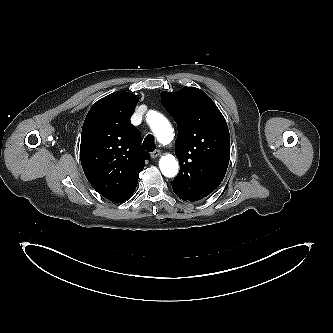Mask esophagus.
I'll return each mask as SVG.
<instances>
[{
    "instance_id": "esophagus-1",
    "label": "esophagus",
    "mask_w": 333,
    "mask_h": 333,
    "mask_svg": "<svg viewBox=\"0 0 333 333\" xmlns=\"http://www.w3.org/2000/svg\"><path fill=\"white\" fill-rule=\"evenodd\" d=\"M161 154V151L160 150H155L153 152L150 153V157L155 159L157 158L159 155Z\"/></svg>"
}]
</instances>
